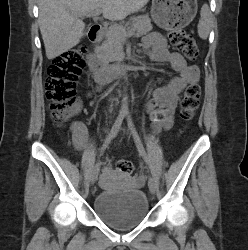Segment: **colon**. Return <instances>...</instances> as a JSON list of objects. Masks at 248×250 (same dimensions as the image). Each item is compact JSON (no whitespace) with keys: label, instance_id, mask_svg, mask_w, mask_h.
<instances>
[{"label":"colon","instance_id":"obj_1","mask_svg":"<svg viewBox=\"0 0 248 250\" xmlns=\"http://www.w3.org/2000/svg\"><path fill=\"white\" fill-rule=\"evenodd\" d=\"M167 36L171 44L181 50L188 59L198 58V45L190 33L169 29ZM86 52L85 45L73 47L57 57L48 68L46 91L51 116L57 124L66 123L79 109L76 81L85 67ZM200 97L201 89L197 82H192L185 88L180 102V116L183 121L189 122L193 119ZM116 167L124 174L133 172V164L127 160H118Z\"/></svg>","mask_w":248,"mask_h":250}]
</instances>
